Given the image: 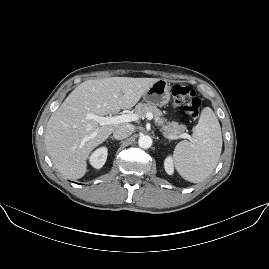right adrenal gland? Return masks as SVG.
<instances>
[{"mask_svg":"<svg viewBox=\"0 0 269 269\" xmlns=\"http://www.w3.org/2000/svg\"><path fill=\"white\" fill-rule=\"evenodd\" d=\"M109 138H110L112 141H114V137H113V136H110Z\"/></svg>","mask_w":269,"mask_h":269,"instance_id":"1","label":"right adrenal gland"}]
</instances>
